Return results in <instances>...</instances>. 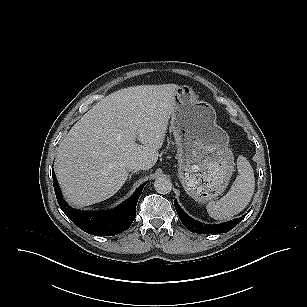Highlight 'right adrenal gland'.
I'll list each match as a JSON object with an SVG mask.
<instances>
[{
  "instance_id": "right-adrenal-gland-1",
  "label": "right adrenal gland",
  "mask_w": 307,
  "mask_h": 307,
  "mask_svg": "<svg viewBox=\"0 0 307 307\" xmlns=\"http://www.w3.org/2000/svg\"><path fill=\"white\" fill-rule=\"evenodd\" d=\"M135 172H136V171H133V172H131V173L129 174V180H128V181L131 180V177H132V175H133Z\"/></svg>"
}]
</instances>
